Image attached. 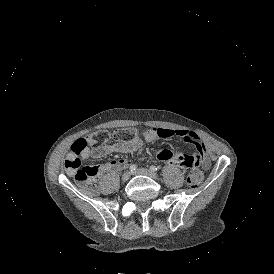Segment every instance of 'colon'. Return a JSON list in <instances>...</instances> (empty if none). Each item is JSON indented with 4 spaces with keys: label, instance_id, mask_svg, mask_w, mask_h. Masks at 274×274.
Listing matches in <instances>:
<instances>
[{
    "label": "colon",
    "instance_id": "colon-1",
    "mask_svg": "<svg viewBox=\"0 0 274 274\" xmlns=\"http://www.w3.org/2000/svg\"><path fill=\"white\" fill-rule=\"evenodd\" d=\"M140 132L133 128L118 129L114 135L117 141L129 143L135 141ZM108 137L106 131L98 132L94 135L97 142L101 143ZM77 146H71L70 154L64 159L63 166L67 172L73 175L74 179L78 182H85L103 171L101 165H84L81 162L80 154L86 146L85 138L77 139ZM206 179V172L203 169L190 170L188 175V184L191 188H196Z\"/></svg>",
    "mask_w": 274,
    "mask_h": 274
}]
</instances>
